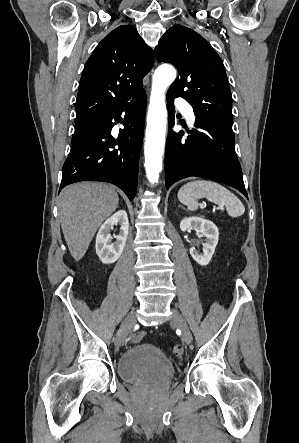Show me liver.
I'll return each instance as SVG.
<instances>
[{"label":"liver","instance_id":"1","mask_svg":"<svg viewBox=\"0 0 299 443\" xmlns=\"http://www.w3.org/2000/svg\"><path fill=\"white\" fill-rule=\"evenodd\" d=\"M118 202L114 187L103 183L81 182L61 191L58 210L62 232L76 261L85 255L98 228L117 209Z\"/></svg>","mask_w":299,"mask_h":443}]
</instances>
